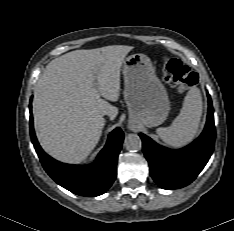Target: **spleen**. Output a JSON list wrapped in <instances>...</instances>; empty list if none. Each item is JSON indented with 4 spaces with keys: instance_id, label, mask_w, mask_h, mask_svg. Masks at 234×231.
Wrapping results in <instances>:
<instances>
[{
    "instance_id": "obj_1",
    "label": "spleen",
    "mask_w": 234,
    "mask_h": 231,
    "mask_svg": "<svg viewBox=\"0 0 234 231\" xmlns=\"http://www.w3.org/2000/svg\"><path fill=\"white\" fill-rule=\"evenodd\" d=\"M202 97L197 88H191L186 94L179 115L169 127L156 130L158 136L167 145L179 148L191 142L197 134L201 115Z\"/></svg>"
}]
</instances>
